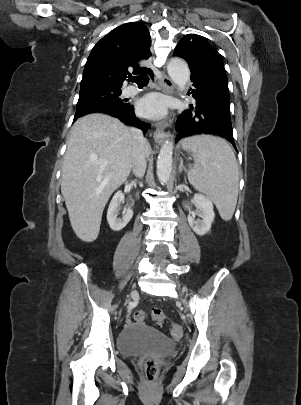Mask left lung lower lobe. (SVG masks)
I'll return each mask as SVG.
<instances>
[{
  "label": "left lung lower lobe",
  "instance_id": "obj_1",
  "mask_svg": "<svg viewBox=\"0 0 301 405\" xmlns=\"http://www.w3.org/2000/svg\"><path fill=\"white\" fill-rule=\"evenodd\" d=\"M194 84L192 94L196 105L184 111L177 119L178 135L176 142L184 137L209 134L225 138L236 149L230 119V102L216 95L198 79L191 80Z\"/></svg>",
  "mask_w": 301,
  "mask_h": 405
}]
</instances>
